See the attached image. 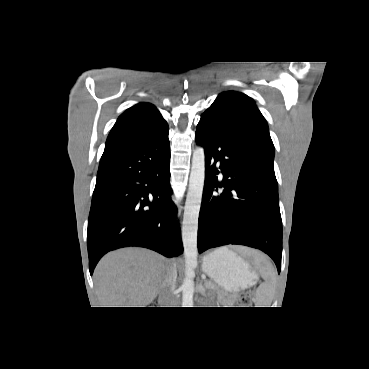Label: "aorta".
<instances>
[{
	"instance_id": "1",
	"label": "aorta",
	"mask_w": 369,
	"mask_h": 369,
	"mask_svg": "<svg viewBox=\"0 0 369 369\" xmlns=\"http://www.w3.org/2000/svg\"><path fill=\"white\" fill-rule=\"evenodd\" d=\"M205 180V152L197 146L193 151L189 188L182 222V241L185 257V278L182 289V307H193L194 269L197 266L198 218Z\"/></svg>"
}]
</instances>
